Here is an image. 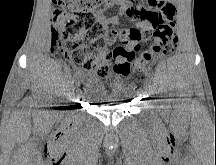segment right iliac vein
Listing matches in <instances>:
<instances>
[{"instance_id":"right-iliac-vein-1","label":"right iliac vein","mask_w":216,"mask_h":165,"mask_svg":"<svg viewBox=\"0 0 216 165\" xmlns=\"http://www.w3.org/2000/svg\"><path fill=\"white\" fill-rule=\"evenodd\" d=\"M77 80L75 79L74 85H73V89L71 90V96H72V101L76 102L77 101V96H76V92H77Z\"/></svg>"}]
</instances>
